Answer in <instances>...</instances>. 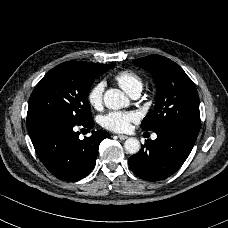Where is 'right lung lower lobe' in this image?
I'll list each match as a JSON object with an SVG mask.
<instances>
[{
  "instance_id": "98d812e1",
  "label": "right lung lower lobe",
  "mask_w": 228,
  "mask_h": 228,
  "mask_svg": "<svg viewBox=\"0 0 228 228\" xmlns=\"http://www.w3.org/2000/svg\"><path fill=\"white\" fill-rule=\"evenodd\" d=\"M76 126L90 131L94 121L79 125L49 117L27 123L39 159L54 176L65 181H77L87 176L96 164L99 144L110 137L104 130H93L90 137L80 140Z\"/></svg>"
}]
</instances>
